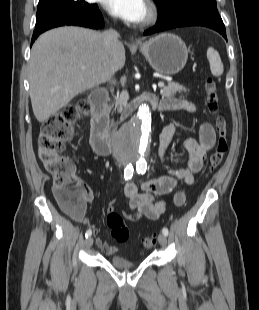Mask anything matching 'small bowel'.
Listing matches in <instances>:
<instances>
[{
	"label": "small bowel",
	"mask_w": 259,
	"mask_h": 310,
	"mask_svg": "<svg viewBox=\"0 0 259 310\" xmlns=\"http://www.w3.org/2000/svg\"><path fill=\"white\" fill-rule=\"evenodd\" d=\"M164 110H185L188 112L195 111V105L187 100L178 98H166L160 102ZM176 131L174 124L168 125L162 131L159 141V155L163 160L167 174L160 178L151 180H142L139 183L143 192L138 191V185L135 182H127L124 186V193L129 202V212H125L126 219L130 221H138L146 218L149 220H157L166 210V204L162 200H157L156 195H164L172 192L179 181L185 185L191 186L195 182V175L200 172L203 162L209 150L213 148L216 140V133L213 126L204 122L200 126L199 140L189 138L184 142V148L187 151L185 164L181 167H173L169 158L166 155V150L170 144ZM87 201L93 198L90 187L82 183ZM186 195L183 191H178L174 195V205L180 207L184 205ZM114 211V204L111 202L108 206V212ZM79 222L86 223L87 221L80 216L77 218ZM93 232L96 237V246L107 255H114L118 252L116 246L104 241L100 236V229L94 228Z\"/></svg>",
	"instance_id": "small-bowel-1"
}]
</instances>
